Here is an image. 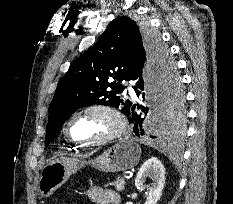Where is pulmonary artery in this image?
<instances>
[{"label":"pulmonary artery","mask_w":233,"mask_h":204,"mask_svg":"<svg viewBox=\"0 0 233 204\" xmlns=\"http://www.w3.org/2000/svg\"><path fill=\"white\" fill-rule=\"evenodd\" d=\"M127 90L131 93V94H134L132 88L130 86L127 87Z\"/></svg>","instance_id":"e3ab8cb5"}]
</instances>
